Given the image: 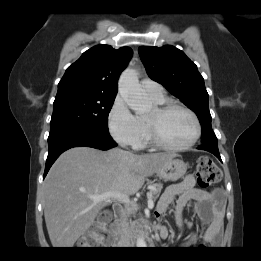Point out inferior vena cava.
<instances>
[{"instance_id":"inferior-vena-cava-1","label":"inferior vena cava","mask_w":261,"mask_h":261,"mask_svg":"<svg viewBox=\"0 0 261 261\" xmlns=\"http://www.w3.org/2000/svg\"><path fill=\"white\" fill-rule=\"evenodd\" d=\"M121 215H122L123 218L126 217V214H125L124 211H121ZM119 245H120V246H128V245H129L128 240H127L126 238H125V239H121V240L119 241Z\"/></svg>"}]
</instances>
